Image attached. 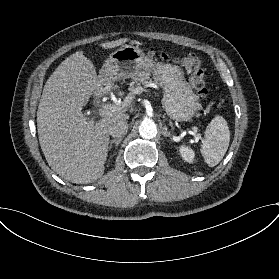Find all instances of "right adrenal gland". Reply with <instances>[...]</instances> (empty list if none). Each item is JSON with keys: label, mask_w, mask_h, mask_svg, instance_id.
Listing matches in <instances>:
<instances>
[{"label": "right adrenal gland", "mask_w": 279, "mask_h": 279, "mask_svg": "<svg viewBox=\"0 0 279 279\" xmlns=\"http://www.w3.org/2000/svg\"><path fill=\"white\" fill-rule=\"evenodd\" d=\"M121 141H122V138L113 139V140L109 141L108 150H111L113 144H115L116 149H117V147H118V145L121 143Z\"/></svg>", "instance_id": "right-adrenal-gland-1"}]
</instances>
